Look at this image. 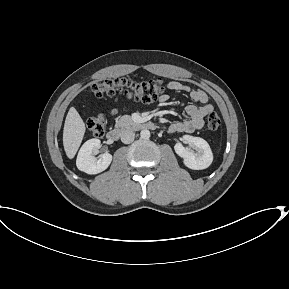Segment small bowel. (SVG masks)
I'll return each instance as SVG.
<instances>
[{"label": "small bowel", "mask_w": 289, "mask_h": 289, "mask_svg": "<svg viewBox=\"0 0 289 289\" xmlns=\"http://www.w3.org/2000/svg\"><path fill=\"white\" fill-rule=\"evenodd\" d=\"M167 88L175 92H187L194 102L200 104L188 105L185 110L186 114L188 115V119L172 123L169 127V130L171 132L192 133L202 128L204 124V118L213 111V106L209 103L208 95L206 92L201 89L191 88L190 86L179 81L168 82ZM168 99L169 96L163 94L160 96L159 101L161 103H166ZM116 113H118L117 108L111 109L112 115H115Z\"/></svg>", "instance_id": "1"}]
</instances>
